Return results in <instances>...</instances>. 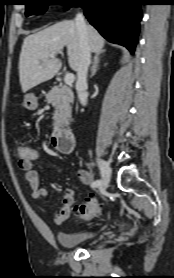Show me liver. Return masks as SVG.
Masks as SVG:
<instances>
[{
  "mask_svg": "<svg viewBox=\"0 0 174 278\" xmlns=\"http://www.w3.org/2000/svg\"><path fill=\"white\" fill-rule=\"evenodd\" d=\"M90 51L102 53L105 40L98 31L87 25ZM67 48L68 63L77 71L80 64L79 35L75 21L58 22L42 31L28 35L19 57V79L23 92L52 79L62 67L58 58L50 54Z\"/></svg>",
  "mask_w": 174,
  "mask_h": 278,
  "instance_id": "6515ba94",
  "label": "liver"
}]
</instances>
